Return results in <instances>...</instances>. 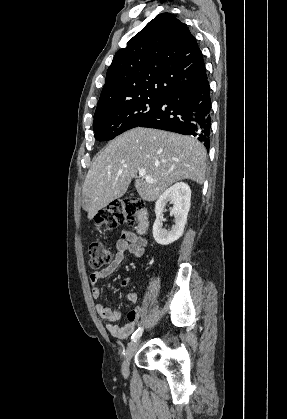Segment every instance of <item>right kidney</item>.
Instances as JSON below:
<instances>
[{
	"mask_svg": "<svg viewBox=\"0 0 287 419\" xmlns=\"http://www.w3.org/2000/svg\"><path fill=\"white\" fill-rule=\"evenodd\" d=\"M190 199V187L184 182L174 184L159 197L155 204L156 220L153 224V237L158 244L169 245L182 236L190 209ZM168 203L173 204L171 213L175 218V224L170 230H166L162 225L164 208Z\"/></svg>",
	"mask_w": 287,
	"mask_h": 419,
	"instance_id": "1",
	"label": "right kidney"
}]
</instances>
